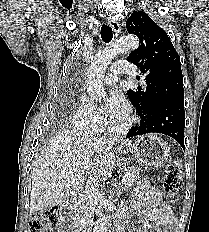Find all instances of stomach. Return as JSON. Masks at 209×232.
Returning a JSON list of instances; mask_svg holds the SVG:
<instances>
[{
	"label": "stomach",
	"instance_id": "obj_1",
	"mask_svg": "<svg viewBox=\"0 0 209 232\" xmlns=\"http://www.w3.org/2000/svg\"><path fill=\"white\" fill-rule=\"evenodd\" d=\"M128 151L144 165L156 169L162 168L169 156L168 144L155 135L140 136Z\"/></svg>",
	"mask_w": 209,
	"mask_h": 232
}]
</instances>
